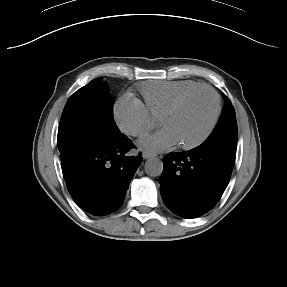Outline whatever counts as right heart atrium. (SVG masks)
<instances>
[{
  "instance_id": "1",
  "label": "right heart atrium",
  "mask_w": 287,
  "mask_h": 287,
  "mask_svg": "<svg viewBox=\"0 0 287 287\" xmlns=\"http://www.w3.org/2000/svg\"><path fill=\"white\" fill-rule=\"evenodd\" d=\"M114 116L120 128L134 137L146 135L156 125L143 102L131 94L123 95L116 101Z\"/></svg>"
}]
</instances>
